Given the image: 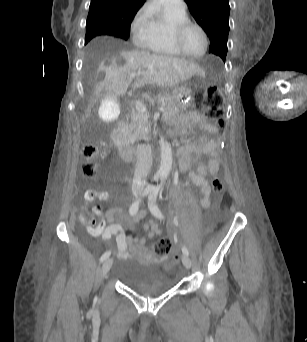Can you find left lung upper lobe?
Returning a JSON list of instances; mask_svg holds the SVG:
<instances>
[{
	"instance_id": "5c2ea615",
	"label": "left lung upper lobe",
	"mask_w": 307,
	"mask_h": 342,
	"mask_svg": "<svg viewBox=\"0 0 307 342\" xmlns=\"http://www.w3.org/2000/svg\"><path fill=\"white\" fill-rule=\"evenodd\" d=\"M196 22L210 39L209 52L225 62L229 33L230 6L228 0H185Z\"/></svg>"
}]
</instances>
